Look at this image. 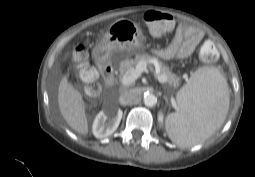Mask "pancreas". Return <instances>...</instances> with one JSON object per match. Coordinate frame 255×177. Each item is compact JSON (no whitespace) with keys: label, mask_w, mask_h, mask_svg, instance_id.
Returning <instances> with one entry per match:
<instances>
[{"label":"pancreas","mask_w":255,"mask_h":177,"mask_svg":"<svg viewBox=\"0 0 255 177\" xmlns=\"http://www.w3.org/2000/svg\"><path fill=\"white\" fill-rule=\"evenodd\" d=\"M151 60H156L158 66H159V75L158 77L164 76L166 78V81L169 85H172L174 87H177L179 85V78L172 73L167 66L159 62L156 58L145 54H137L134 59H125L120 62L119 67V78L122 79V77L132 68H134L138 62L145 61L147 64L150 63ZM164 83V82H163Z\"/></svg>","instance_id":"pancreas-1"}]
</instances>
